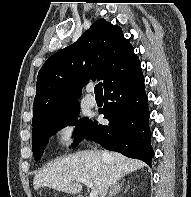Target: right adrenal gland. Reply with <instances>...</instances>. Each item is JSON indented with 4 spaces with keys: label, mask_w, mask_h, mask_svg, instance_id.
Instances as JSON below:
<instances>
[{
    "label": "right adrenal gland",
    "mask_w": 191,
    "mask_h": 197,
    "mask_svg": "<svg viewBox=\"0 0 191 197\" xmlns=\"http://www.w3.org/2000/svg\"><path fill=\"white\" fill-rule=\"evenodd\" d=\"M123 183H116L110 190L109 196L108 197H113L116 194H118L122 190Z\"/></svg>",
    "instance_id": "obj_1"
}]
</instances>
